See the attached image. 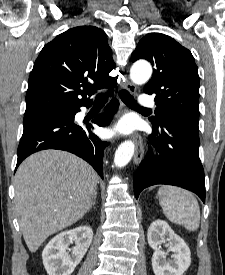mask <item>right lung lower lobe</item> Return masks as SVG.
Masks as SVG:
<instances>
[{
  "label": "right lung lower lobe",
  "mask_w": 225,
  "mask_h": 275,
  "mask_svg": "<svg viewBox=\"0 0 225 275\" xmlns=\"http://www.w3.org/2000/svg\"><path fill=\"white\" fill-rule=\"evenodd\" d=\"M87 107L91 105H86ZM116 99L107 106L108 113L93 120L98 126H106L111 115L117 111ZM80 107L48 110L24 116V131L18 147L16 168L29 155L44 149H59L71 152L86 160L103 177L102 159L107 142L91 132L90 124L84 127L74 123Z\"/></svg>",
  "instance_id": "obj_1"
}]
</instances>
